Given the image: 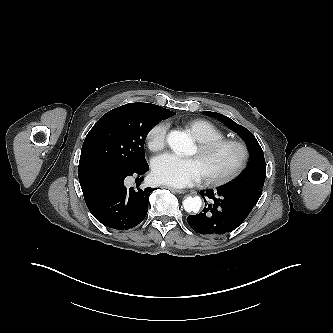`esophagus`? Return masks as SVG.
<instances>
[{
    "mask_svg": "<svg viewBox=\"0 0 333 333\" xmlns=\"http://www.w3.org/2000/svg\"><path fill=\"white\" fill-rule=\"evenodd\" d=\"M166 188H168L169 190L175 192V193H178V194H184L186 191L185 190H181V189H176V188H173L171 186H167Z\"/></svg>",
    "mask_w": 333,
    "mask_h": 333,
    "instance_id": "obj_1",
    "label": "esophagus"
}]
</instances>
